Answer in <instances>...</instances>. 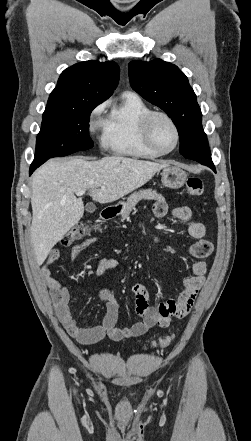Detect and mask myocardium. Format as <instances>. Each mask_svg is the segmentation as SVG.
Here are the masks:
<instances>
[{
  "label": "myocardium",
  "mask_w": 251,
  "mask_h": 441,
  "mask_svg": "<svg viewBox=\"0 0 251 441\" xmlns=\"http://www.w3.org/2000/svg\"><path fill=\"white\" fill-rule=\"evenodd\" d=\"M159 117L164 118L171 125V127L173 128L174 133H175V144L170 150H167V151L161 150L155 144V142L153 140V136H152V127H153L154 121ZM141 131H142V137H143L145 144L148 146V148H150L153 152L157 153L158 155L170 154L178 147V145L180 143V131H179V128H178L176 122L168 113L163 112V111H151L150 113H148L142 121Z\"/></svg>",
  "instance_id": "myocardium-1"
}]
</instances>
